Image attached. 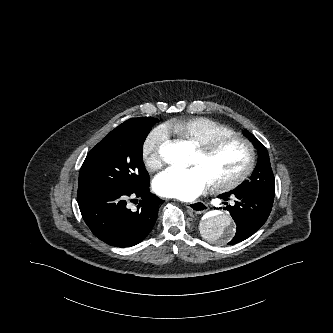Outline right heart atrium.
<instances>
[{
  "mask_svg": "<svg viewBox=\"0 0 333 333\" xmlns=\"http://www.w3.org/2000/svg\"><path fill=\"white\" fill-rule=\"evenodd\" d=\"M166 141V131L161 127L147 135L141 149L142 160L147 169L157 170L163 165L162 147Z\"/></svg>",
  "mask_w": 333,
  "mask_h": 333,
  "instance_id": "1",
  "label": "right heart atrium"
}]
</instances>
